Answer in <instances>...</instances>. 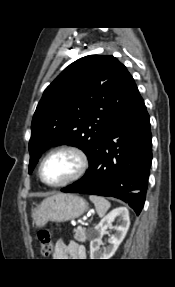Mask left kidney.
I'll return each mask as SVG.
<instances>
[{
  "label": "left kidney",
  "mask_w": 175,
  "mask_h": 287,
  "mask_svg": "<svg viewBox=\"0 0 175 287\" xmlns=\"http://www.w3.org/2000/svg\"><path fill=\"white\" fill-rule=\"evenodd\" d=\"M117 219L119 225L115 228V233L110 236L109 245L100 249L101 238L107 228ZM130 226L129 212L125 207L115 208L107 214L92 232V240L90 242V258L91 259H110L118 249L119 245L125 238Z\"/></svg>",
  "instance_id": "obj_1"
}]
</instances>
